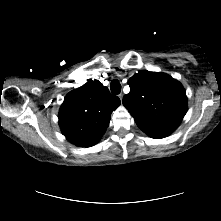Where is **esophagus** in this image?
<instances>
[{"label":"esophagus","mask_w":221,"mask_h":221,"mask_svg":"<svg viewBox=\"0 0 221 221\" xmlns=\"http://www.w3.org/2000/svg\"><path fill=\"white\" fill-rule=\"evenodd\" d=\"M119 98H120V100H121V102H122V99H123V94H122V93L119 94Z\"/></svg>","instance_id":"1"}]
</instances>
